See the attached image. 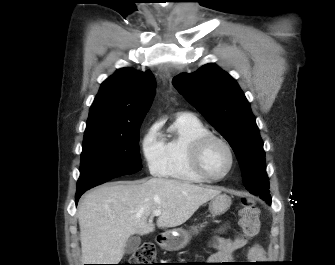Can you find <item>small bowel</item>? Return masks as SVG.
<instances>
[{"instance_id":"1","label":"small bowel","mask_w":335,"mask_h":265,"mask_svg":"<svg viewBox=\"0 0 335 265\" xmlns=\"http://www.w3.org/2000/svg\"><path fill=\"white\" fill-rule=\"evenodd\" d=\"M224 228L218 230L210 239L209 246L214 249V253L209 257L212 264H222L231 261L236 251L242 249L246 244V240L237 235L234 239H226L221 236ZM246 258L249 261L259 262L264 260V251L259 244H253L246 251Z\"/></svg>"}]
</instances>
